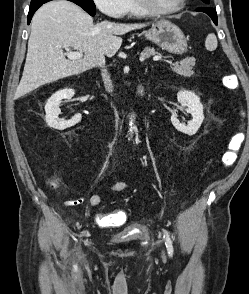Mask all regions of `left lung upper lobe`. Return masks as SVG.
<instances>
[{
  "label": "left lung upper lobe",
  "mask_w": 249,
  "mask_h": 294,
  "mask_svg": "<svg viewBox=\"0 0 249 294\" xmlns=\"http://www.w3.org/2000/svg\"><path fill=\"white\" fill-rule=\"evenodd\" d=\"M204 3L209 4L210 0H202Z\"/></svg>",
  "instance_id": "obj_1"
}]
</instances>
